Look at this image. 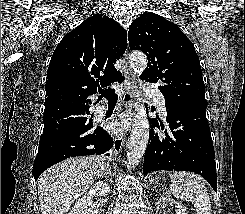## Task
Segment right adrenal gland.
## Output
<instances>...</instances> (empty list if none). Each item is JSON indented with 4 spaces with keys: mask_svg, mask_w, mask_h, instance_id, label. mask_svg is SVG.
<instances>
[{
    "mask_svg": "<svg viewBox=\"0 0 245 214\" xmlns=\"http://www.w3.org/2000/svg\"><path fill=\"white\" fill-rule=\"evenodd\" d=\"M111 167H110V165L109 164H107V171H106V174H105V177H107V176H110L111 177ZM110 182H111V184H112V179H110Z\"/></svg>",
    "mask_w": 245,
    "mask_h": 214,
    "instance_id": "right-adrenal-gland-1",
    "label": "right adrenal gland"
}]
</instances>
